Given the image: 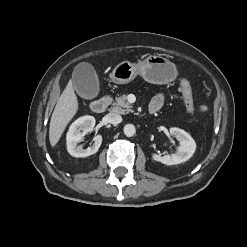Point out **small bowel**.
I'll return each instance as SVG.
<instances>
[{
    "mask_svg": "<svg viewBox=\"0 0 247 247\" xmlns=\"http://www.w3.org/2000/svg\"><path fill=\"white\" fill-rule=\"evenodd\" d=\"M165 102V95L163 93L157 94L150 102V109L154 112L159 111ZM202 111L205 110V107L200 108Z\"/></svg>",
    "mask_w": 247,
    "mask_h": 247,
    "instance_id": "1",
    "label": "small bowel"
}]
</instances>
